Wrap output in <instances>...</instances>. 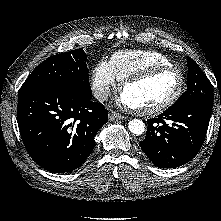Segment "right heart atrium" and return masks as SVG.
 I'll return each mask as SVG.
<instances>
[{"label": "right heart atrium", "instance_id": "1", "mask_svg": "<svg viewBox=\"0 0 221 221\" xmlns=\"http://www.w3.org/2000/svg\"><path fill=\"white\" fill-rule=\"evenodd\" d=\"M116 77L107 60L99 61L91 71V88L99 101H104L116 86Z\"/></svg>", "mask_w": 221, "mask_h": 221}]
</instances>
